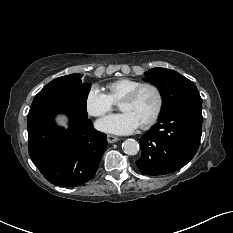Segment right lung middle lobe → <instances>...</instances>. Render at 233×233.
<instances>
[{"instance_id": "dd1d6c3e", "label": "right lung middle lobe", "mask_w": 233, "mask_h": 233, "mask_svg": "<svg viewBox=\"0 0 233 233\" xmlns=\"http://www.w3.org/2000/svg\"><path fill=\"white\" fill-rule=\"evenodd\" d=\"M82 76V74H70L54 79L35 96L31 108L43 103L59 102L86 111V100L91 85L82 83Z\"/></svg>"}]
</instances>
